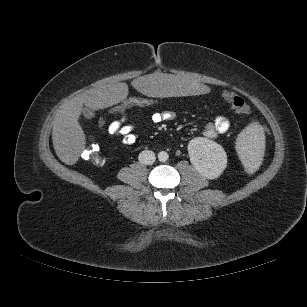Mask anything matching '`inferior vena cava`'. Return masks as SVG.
Returning <instances> with one entry per match:
<instances>
[{
	"label": "inferior vena cava",
	"instance_id": "1",
	"mask_svg": "<svg viewBox=\"0 0 307 307\" xmlns=\"http://www.w3.org/2000/svg\"><path fill=\"white\" fill-rule=\"evenodd\" d=\"M155 154L151 150H144L139 153L138 160L140 163L145 165H151L155 162Z\"/></svg>",
	"mask_w": 307,
	"mask_h": 307
}]
</instances>
